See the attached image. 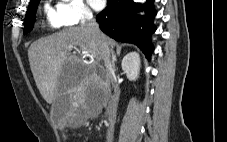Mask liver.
Wrapping results in <instances>:
<instances>
[{"instance_id": "6515ba94", "label": "liver", "mask_w": 227, "mask_h": 142, "mask_svg": "<svg viewBox=\"0 0 227 142\" xmlns=\"http://www.w3.org/2000/svg\"><path fill=\"white\" fill-rule=\"evenodd\" d=\"M104 40L109 47L114 46V41L104 35ZM79 47L89 57L84 63L80 59V70L72 78H63L64 67L69 62L77 60L70 55L73 49ZM30 68L36 86L48 104H52L58 93H72L80 88L81 94L73 98V105L82 104L86 88L95 89L101 85V78L95 73L96 63L102 60L101 52L96 41L82 27H71L46 38L36 40L28 49ZM76 104V105H75Z\"/></svg>"}]
</instances>
